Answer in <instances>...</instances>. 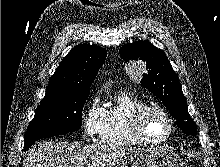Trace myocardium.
I'll list each match as a JSON object with an SVG mask.
<instances>
[{
  "mask_svg": "<svg viewBox=\"0 0 220 167\" xmlns=\"http://www.w3.org/2000/svg\"><path fill=\"white\" fill-rule=\"evenodd\" d=\"M150 112L160 113L169 124V133L167 136L161 139H151L144 131V121ZM132 126L137 137L144 143L148 145H161L169 141L175 132V125L170 114L159 105H145L140 108L134 115Z\"/></svg>",
  "mask_w": 220,
  "mask_h": 167,
  "instance_id": "obj_1",
  "label": "myocardium"
}]
</instances>
